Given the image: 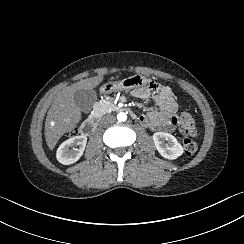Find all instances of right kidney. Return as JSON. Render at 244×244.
<instances>
[{"label": "right kidney", "instance_id": "obj_1", "mask_svg": "<svg viewBox=\"0 0 244 244\" xmlns=\"http://www.w3.org/2000/svg\"><path fill=\"white\" fill-rule=\"evenodd\" d=\"M87 143V137L83 135L74 136L64 141L57 149L56 158L64 165L73 164L82 156ZM79 146V148H75ZM72 148V149H70Z\"/></svg>", "mask_w": 244, "mask_h": 244}]
</instances>
